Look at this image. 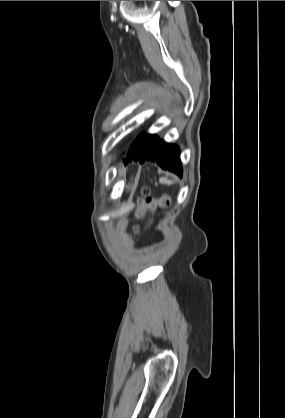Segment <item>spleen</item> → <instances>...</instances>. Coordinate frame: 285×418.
Wrapping results in <instances>:
<instances>
[{"label": "spleen", "instance_id": "1", "mask_svg": "<svg viewBox=\"0 0 285 418\" xmlns=\"http://www.w3.org/2000/svg\"><path fill=\"white\" fill-rule=\"evenodd\" d=\"M159 181H160V183H162V184H167V185H170V184H172V183H173L171 180H169V179H167V178H164V177H161V178L159 179Z\"/></svg>", "mask_w": 285, "mask_h": 418}]
</instances>
